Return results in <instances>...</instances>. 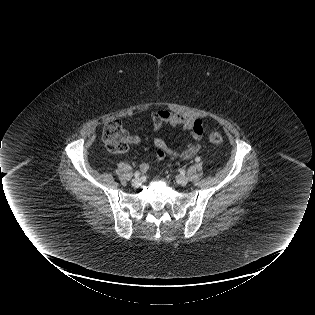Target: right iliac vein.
<instances>
[{
	"label": "right iliac vein",
	"mask_w": 315,
	"mask_h": 315,
	"mask_svg": "<svg viewBox=\"0 0 315 315\" xmlns=\"http://www.w3.org/2000/svg\"><path fill=\"white\" fill-rule=\"evenodd\" d=\"M141 183H142V180H141L140 178H134V179L132 180V185L135 186V187L140 186Z\"/></svg>",
	"instance_id": "63e3f726"
}]
</instances>
